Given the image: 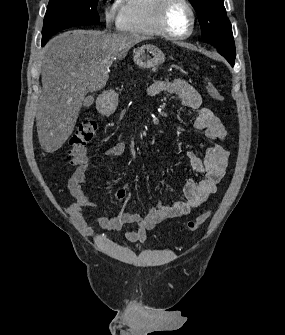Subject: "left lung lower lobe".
I'll return each instance as SVG.
<instances>
[{
	"label": "left lung lower lobe",
	"instance_id": "1",
	"mask_svg": "<svg viewBox=\"0 0 285 335\" xmlns=\"http://www.w3.org/2000/svg\"><path fill=\"white\" fill-rule=\"evenodd\" d=\"M234 61H235V56H234V60H233L232 63H231L232 66L234 65Z\"/></svg>",
	"mask_w": 285,
	"mask_h": 335
}]
</instances>
